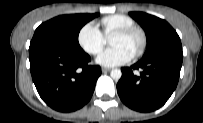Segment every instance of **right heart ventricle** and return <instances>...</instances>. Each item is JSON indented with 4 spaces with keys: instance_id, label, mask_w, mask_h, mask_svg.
<instances>
[{
    "instance_id": "e07e8e85",
    "label": "right heart ventricle",
    "mask_w": 203,
    "mask_h": 123,
    "mask_svg": "<svg viewBox=\"0 0 203 123\" xmlns=\"http://www.w3.org/2000/svg\"><path fill=\"white\" fill-rule=\"evenodd\" d=\"M101 23L106 36L112 35V33L118 29L135 26V22L132 18L122 14L104 17Z\"/></svg>"
}]
</instances>
